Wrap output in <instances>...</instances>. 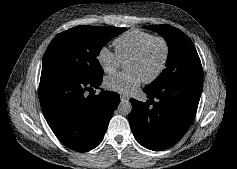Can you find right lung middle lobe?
Here are the masks:
<instances>
[{
  "mask_svg": "<svg viewBox=\"0 0 237 169\" xmlns=\"http://www.w3.org/2000/svg\"><path fill=\"white\" fill-rule=\"evenodd\" d=\"M126 28L77 26L59 33L49 44L42 73H58L83 79L102 77L97 60L102 47Z\"/></svg>",
  "mask_w": 237,
  "mask_h": 169,
  "instance_id": "right-lung-middle-lobe-1",
  "label": "right lung middle lobe"
}]
</instances>
